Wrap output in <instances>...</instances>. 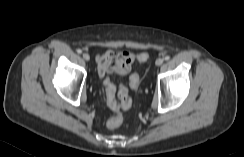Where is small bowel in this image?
<instances>
[{
    "instance_id": "c3829d8e",
    "label": "small bowel",
    "mask_w": 244,
    "mask_h": 157,
    "mask_svg": "<svg viewBox=\"0 0 244 157\" xmlns=\"http://www.w3.org/2000/svg\"><path fill=\"white\" fill-rule=\"evenodd\" d=\"M135 54L130 51L106 50L97 55V71L100 78L106 74L128 75L135 62Z\"/></svg>"
}]
</instances>
